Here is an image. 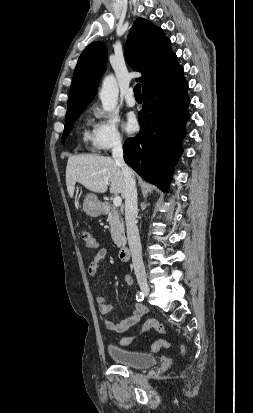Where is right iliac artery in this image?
I'll return each mask as SVG.
<instances>
[{"instance_id":"1","label":"right iliac artery","mask_w":253,"mask_h":413,"mask_svg":"<svg viewBox=\"0 0 253 413\" xmlns=\"http://www.w3.org/2000/svg\"><path fill=\"white\" fill-rule=\"evenodd\" d=\"M136 299H137V301H139V302L143 301V299H144L143 293H142V292H137V294H136Z\"/></svg>"}]
</instances>
